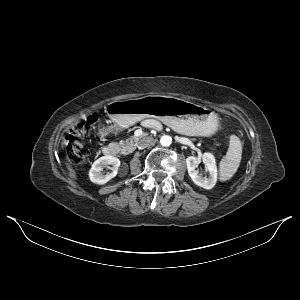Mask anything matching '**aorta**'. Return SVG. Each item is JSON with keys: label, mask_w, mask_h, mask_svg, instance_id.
Returning a JSON list of instances; mask_svg holds the SVG:
<instances>
[{"label": "aorta", "mask_w": 300, "mask_h": 300, "mask_svg": "<svg viewBox=\"0 0 300 300\" xmlns=\"http://www.w3.org/2000/svg\"><path fill=\"white\" fill-rule=\"evenodd\" d=\"M172 143V138L169 135H163L160 139V144L162 146L168 147Z\"/></svg>", "instance_id": "762f6f07"}]
</instances>
